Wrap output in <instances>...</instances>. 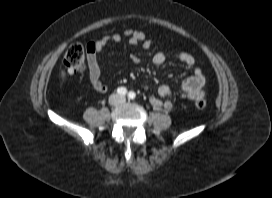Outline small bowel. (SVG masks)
Wrapping results in <instances>:
<instances>
[{
    "mask_svg": "<svg viewBox=\"0 0 272 198\" xmlns=\"http://www.w3.org/2000/svg\"><path fill=\"white\" fill-rule=\"evenodd\" d=\"M127 37L130 43L134 45H141L145 49H149L152 46L150 40H148L145 34L138 30L126 29L122 34H114L109 37L90 41L87 43V59H88V76L90 84L94 91L97 93H105L108 91L109 86L101 79V68L99 65V54L105 48L109 40L113 42H120L122 37ZM177 61L187 68L193 70V74L186 78L179 85L178 92L189 100H195L204 96L205 75L202 69L196 65L195 58L187 52H178L175 55ZM131 62L134 64L139 63V58L136 55L130 57ZM167 57L163 51H158L153 56V63L157 67H163L166 64ZM158 96L150 98V103L154 107L164 108L171 110L174 107L172 89L167 85H161L157 90Z\"/></svg>",
    "mask_w": 272,
    "mask_h": 198,
    "instance_id": "obj_1",
    "label": "small bowel"
}]
</instances>
